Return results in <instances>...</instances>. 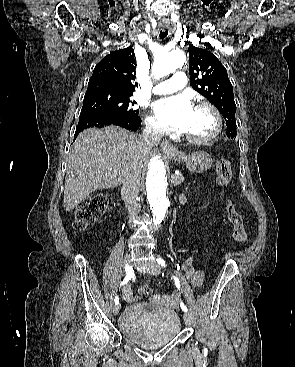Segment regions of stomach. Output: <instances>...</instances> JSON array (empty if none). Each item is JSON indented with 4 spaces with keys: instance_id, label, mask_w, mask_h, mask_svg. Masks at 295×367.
I'll return each mask as SVG.
<instances>
[{
    "instance_id": "1",
    "label": "stomach",
    "mask_w": 295,
    "mask_h": 367,
    "mask_svg": "<svg viewBox=\"0 0 295 367\" xmlns=\"http://www.w3.org/2000/svg\"><path fill=\"white\" fill-rule=\"evenodd\" d=\"M170 158L177 162H184L186 167L193 173H202L212 166L211 156L204 151H196L186 154L183 151L175 150L169 154Z\"/></svg>"
}]
</instances>
